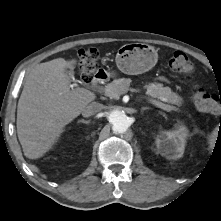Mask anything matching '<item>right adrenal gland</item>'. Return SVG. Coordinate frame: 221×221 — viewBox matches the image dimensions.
Returning <instances> with one entry per match:
<instances>
[{
	"label": "right adrenal gland",
	"instance_id": "obj_1",
	"mask_svg": "<svg viewBox=\"0 0 221 221\" xmlns=\"http://www.w3.org/2000/svg\"><path fill=\"white\" fill-rule=\"evenodd\" d=\"M78 123H85V124H88L89 121H86V120L82 119V120H79Z\"/></svg>",
	"mask_w": 221,
	"mask_h": 221
}]
</instances>
